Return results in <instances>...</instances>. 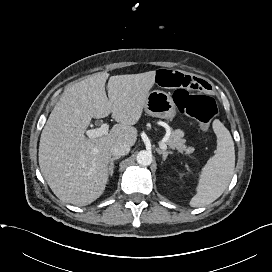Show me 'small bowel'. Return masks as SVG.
<instances>
[{
  "label": "small bowel",
  "mask_w": 272,
  "mask_h": 272,
  "mask_svg": "<svg viewBox=\"0 0 272 272\" xmlns=\"http://www.w3.org/2000/svg\"><path fill=\"white\" fill-rule=\"evenodd\" d=\"M157 83L165 88H181L195 91L209 89V83L203 79L187 75L176 70H159L156 76Z\"/></svg>",
  "instance_id": "obj_1"
}]
</instances>
